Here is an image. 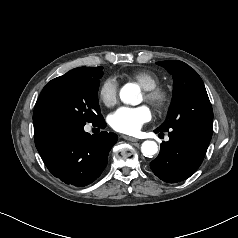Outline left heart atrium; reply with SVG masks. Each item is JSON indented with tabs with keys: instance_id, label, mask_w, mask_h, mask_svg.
I'll use <instances>...</instances> for the list:
<instances>
[{
	"instance_id": "obj_1",
	"label": "left heart atrium",
	"mask_w": 238,
	"mask_h": 238,
	"mask_svg": "<svg viewBox=\"0 0 238 238\" xmlns=\"http://www.w3.org/2000/svg\"><path fill=\"white\" fill-rule=\"evenodd\" d=\"M152 118L151 109L146 106L121 107L110 116V124L118 132L134 134L138 132L143 124Z\"/></svg>"
}]
</instances>
